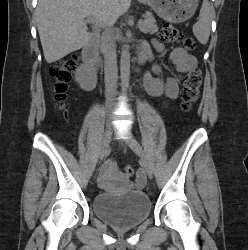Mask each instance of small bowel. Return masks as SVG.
Masks as SVG:
<instances>
[{
  "mask_svg": "<svg viewBox=\"0 0 248 250\" xmlns=\"http://www.w3.org/2000/svg\"><path fill=\"white\" fill-rule=\"evenodd\" d=\"M153 44H154L155 49L159 53H164L165 48L161 42L154 40ZM141 53L146 55L149 59L153 58L151 53H149L146 49H143ZM169 58L171 62L173 63V65L175 66V68L177 69V71L181 73L189 72L190 70L197 67V60L195 59V57L187 53L182 48L173 49L169 54ZM154 72L155 74H157L159 72V69L156 67L154 69ZM148 88L152 92H158L159 80L157 76H154L148 79ZM178 92H179L178 79L174 77L168 78L164 86V96L168 99H174L177 97ZM112 169H113V166L110 164H107L104 166L103 172H102L103 179H105L109 175V173L112 172Z\"/></svg>",
  "mask_w": 248,
  "mask_h": 250,
  "instance_id": "obj_1",
  "label": "small bowel"
}]
</instances>
